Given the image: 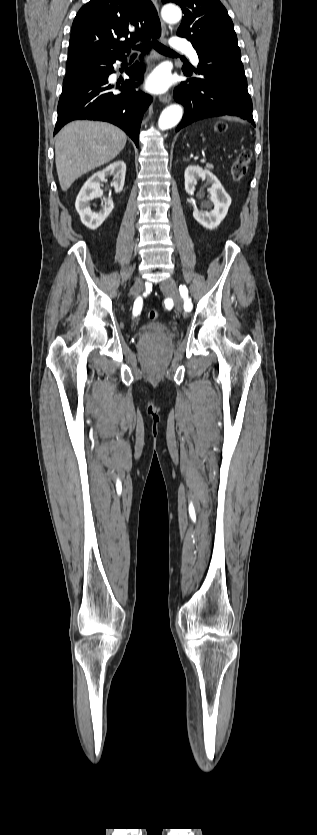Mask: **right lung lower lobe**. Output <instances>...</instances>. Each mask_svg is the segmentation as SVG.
<instances>
[{"mask_svg":"<svg viewBox=\"0 0 317 835\" xmlns=\"http://www.w3.org/2000/svg\"><path fill=\"white\" fill-rule=\"evenodd\" d=\"M159 36L160 34L157 37ZM140 49L144 54L145 50H149V46L146 44V49ZM125 58V55L104 57L97 52L68 57L66 75L97 66V76L94 79L64 85L58 103L54 134L73 120H100L123 129L138 146L142 117L151 104L152 97L144 92L135 91L137 84L134 81L143 79V64L138 63L127 69L130 80L116 86L108 83V76L114 72L113 63ZM113 90H120L121 93L115 94Z\"/></svg>","mask_w":317,"mask_h":835,"instance_id":"obj_1","label":"right lung lower lobe"}]
</instances>
